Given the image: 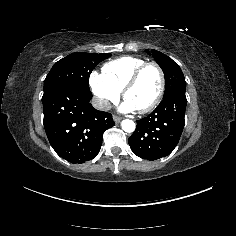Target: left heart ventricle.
<instances>
[{"label":"left heart ventricle","mask_w":236,"mask_h":236,"mask_svg":"<svg viewBox=\"0 0 236 236\" xmlns=\"http://www.w3.org/2000/svg\"><path fill=\"white\" fill-rule=\"evenodd\" d=\"M159 83L158 71L154 67L145 69L136 84L127 92L126 101L136 110L146 107L155 98Z\"/></svg>","instance_id":"b2bd125f"}]
</instances>
